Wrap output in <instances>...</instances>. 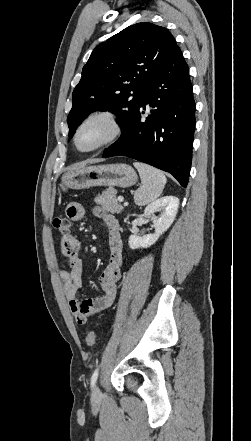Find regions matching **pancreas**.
I'll list each match as a JSON object with an SVG mask.
<instances>
[{
	"label": "pancreas",
	"mask_w": 251,
	"mask_h": 441,
	"mask_svg": "<svg viewBox=\"0 0 251 441\" xmlns=\"http://www.w3.org/2000/svg\"><path fill=\"white\" fill-rule=\"evenodd\" d=\"M95 203L100 205L103 210L113 214H119L123 211V206L116 199V191L108 188L102 194L95 197Z\"/></svg>",
	"instance_id": "pancreas-1"
}]
</instances>
